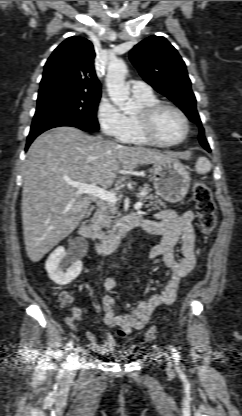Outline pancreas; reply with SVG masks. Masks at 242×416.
I'll list each match as a JSON object with an SVG mask.
<instances>
[{
  "mask_svg": "<svg viewBox=\"0 0 242 416\" xmlns=\"http://www.w3.org/2000/svg\"><path fill=\"white\" fill-rule=\"evenodd\" d=\"M141 192H144V195L138 194L137 197L143 201L148 202L145 207L150 210L160 209L161 207L165 208V203L158 199L156 195L151 194V188L148 184H145L140 188ZM120 213L115 204L103 203L97 212L94 214L91 219L92 229L101 239H106L107 236L105 232H102V229H107V233H113L117 224L121 222L119 217ZM112 227V229H110Z\"/></svg>",
  "mask_w": 242,
  "mask_h": 416,
  "instance_id": "pancreas-1",
  "label": "pancreas"
}]
</instances>
